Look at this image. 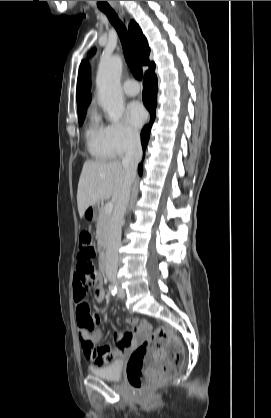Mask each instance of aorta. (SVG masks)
<instances>
[{
  "mask_svg": "<svg viewBox=\"0 0 271 418\" xmlns=\"http://www.w3.org/2000/svg\"><path fill=\"white\" fill-rule=\"evenodd\" d=\"M122 64L121 57L117 55L102 59L96 77L99 103L114 123L121 119L124 111L120 85Z\"/></svg>",
  "mask_w": 271,
  "mask_h": 418,
  "instance_id": "obj_1",
  "label": "aorta"
}]
</instances>
